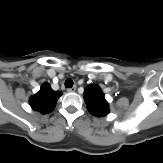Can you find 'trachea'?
Instances as JSON below:
<instances>
[{
  "mask_svg": "<svg viewBox=\"0 0 163 163\" xmlns=\"http://www.w3.org/2000/svg\"><path fill=\"white\" fill-rule=\"evenodd\" d=\"M73 84H74L73 80L70 78L65 81V87L66 88H72Z\"/></svg>",
  "mask_w": 163,
  "mask_h": 163,
  "instance_id": "3493384b",
  "label": "trachea"
}]
</instances>
